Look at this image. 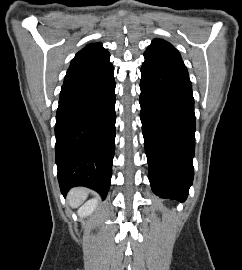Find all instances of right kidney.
Segmentation results:
<instances>
[{"instance_id":"obj_1","label":"right kidney","mask_w":242,"mask_h":270,"mask_svg":"<svg viewBox=\"0 0 242 270\" xmlns=\"http://www.w3.org/2000/svg\"><path fill=\"white\" fill-rule=\"evenodd\" d=\"M97 205H98V199H91L87 201L78 210L79 216L83 217V216L90 215L94 211V209L97 207Z\"/></svg>"}]
</instances>
